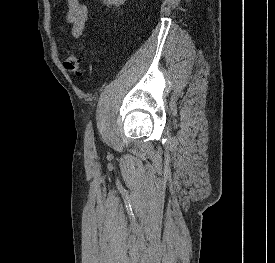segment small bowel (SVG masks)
Returning <instances> with one entry per match:
<instances>
[{
  "instance_id": "1",
  "label": "small bowel",
  "mask_w": 275,
  "mask_h": 263,
  "mask_svg": "<svg viewBox=\"0 0 275 263\" xmlns=\"http://www.w3.org/2000/svg\"><path fill=\"white\" fill-rule=\"evenodd\" d=\"M68 11L66 21L71 26L74 38L83 34L88 17L87 7L80 0H67Z\"/></svg>"
}]
</instances>
